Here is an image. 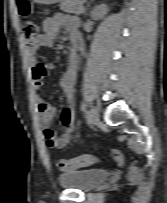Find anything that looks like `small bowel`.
Returning <instances> with one entry per match:
<instances>
[{
	"label": "small bowel",
	"mask_w": 167,
	"mask_h": 203,
	"mask_svg": "<svg viewBox=\"0 0 167 203\" xmlns=\"http://www.w3.org/2000/svg\"><path fill=\"white\" fill-rule=\"evenodd\" d=\"M43 32L33 39L26 40V50L31 66V79L35 88L42 86L43 80L48 75L49 67L38 59V52L42 47L53 46L61 30H65L72 41L77 39L79 21L74 16H67L56 13L44 19L42 23ZM79 71V57L73 51V47L68 53V69L61 77V86L66 96V105L61 111L60 120L63 131L60 135L51 129L50 123L57 116L58 109L41 97H37L36 107L43 127V138L46 145L53 149L66 146L75 132V82Z\"/></svg>",
	"instance_id": "small-bowel-1"
}]
</instances>
